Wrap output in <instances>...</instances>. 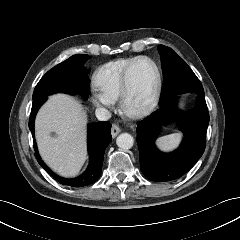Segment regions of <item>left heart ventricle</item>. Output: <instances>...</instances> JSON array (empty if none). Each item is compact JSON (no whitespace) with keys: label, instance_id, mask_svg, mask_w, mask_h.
I'll return each mask as SVG.
<instances>
[{"label":"left heart ventricle","instance_id":"obj_1","mask_svg":"<svg viewBox=\"0 0 240 240\" xmlns=\"http://www.w3.org/2000/svg\"><path fill=\"white\" fill-rule=\"evenodd\" d=\"M156 82V70L148 60H142L134 67L130 79V96L128 105L138 107L151 95Z\"/></svg>","mask_w":240,"mask_h":240}]
</instances>
